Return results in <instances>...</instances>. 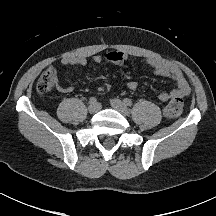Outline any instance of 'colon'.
<instances>
[{
	"label": "colon",
	"mask_w": 216,
	"mask_h": 216,
	"mask_svg": "<svg viewBox=\"0 0 216 216\" xmlns=\"http://www.w3.org/2000/svg\"><path fill=\"white\" fill-rule=\"evenodd\" d=\"M57 83V73L55 70L45 71L37 82V90L40 93H46L51 91ZM183 109V102L179 98L172 99L165 108L166 117L173 119L177 118Z\"/></svg>",
	"instance_id": "5ec220e1"
}]
</instances>
